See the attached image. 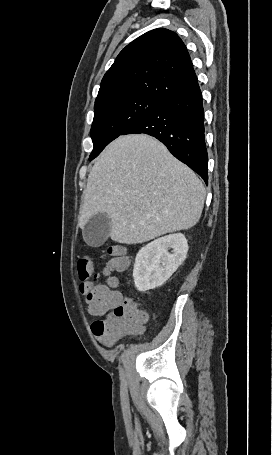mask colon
<instances>
[{"mask_svg":"<svg viewBox=\"0 0 272 455\" xmlns=\"http://www.w3.org/2000/svg\"><path fill=\"white\" fill-rule=\"evenodd\" d=\"M106 254L109 256L107 273L127 269L124 248L110 246ZM77 270L81 281L79 290L85 298L88 312L97 317L91 329L99 342L110 346L122 336L142 330L145 314L135 302L122 298L115 288V280L110 279L105 284L97 282L96 275L93 276L94 263L89 257L78 260Z\"/></svg>","mask_w":272,"mask_h":455,"instance_id":"5ec220e1","label":"colon"}]
</instances>
